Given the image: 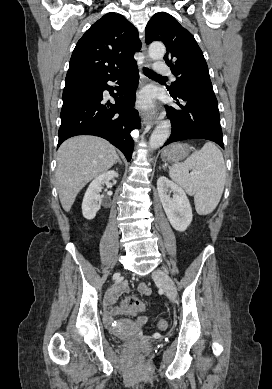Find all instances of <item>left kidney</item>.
<instances>
[{"label":"left kidney","mask_w":272,"mask_h":389,"mask_svg":"<svg viewBox=\"0 0 272 389\" xmlns=\"http://www.w3.org/2000/svg\"><path fill=\"white\" fill-rule=\"evenodd\" d=\"M157 190L172 227L180 232L185 231L192 222L193 214L184 190L165 176L159 177ZM168 191L173 193L172 197L167 194Z\"/></svg>","instance_id":"obj_1"}]
</instances>
